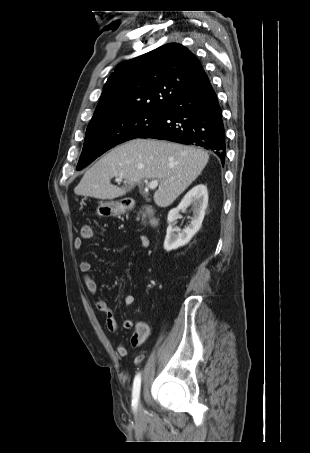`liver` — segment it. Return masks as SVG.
Here are the masks:
<instances>
[{
	"instance_id": "6515ba94",
	"label": "liver",
	"mask_w": 310,
	"mask_h": 453,
	"mask_svg": "<svg viewBox=\"0 0 310 453\" xmlns=\"http://www.w3.org/2000/svg\"><path fill=\"white\" fill-rule=\"evenodd\" d=\"M209 160L203 149L155 139H133L103 156L85 172L74 193L97 199H114L126 194L144 179L159 181L154 202L170 206L201 174ZM113 177L123 187L111 184Z\"/></svg>"
}]
</instances>
